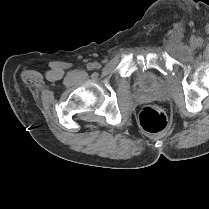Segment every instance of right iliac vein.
Instances as JSON below:
<instances>
[{"mask_svg":"<svg viewBox=\"0 0 209 209\" xmlns=\"http://www.w3.org/2000/svg\"><path fill=\"white\" fill-rule=\"evenodd\" d=\"M95 67H96V68H100L101 65H100L99 63H96Z\"/></svg>","mask_w":209,"mask_h":209,"instance_id":"right-iliac-vein-1","label":"right iliac vein"}]
</instances>
